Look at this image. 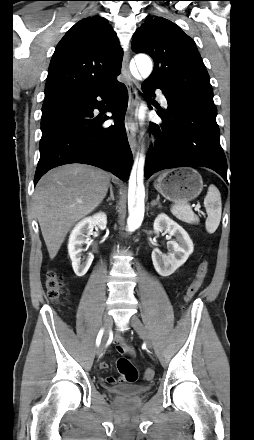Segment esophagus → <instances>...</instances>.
<instances>
[{
    "label": "esophagus",
    "mask_w": 254,
    "mask_h": 440,
    "mask_svg": "<svg viewBox=\"0 0 254 440\" xmlns=\"http://www.w3.org/2000/svg\"><path fill=\"white\" fill-rule=\"evenodd\" d=\"M129 60H130V51L126 50L123 57L122 63V74L125 78V84L128 89L129 100H128V108L125 116V128L128 137V142L133 154H136L137 151V140H136V124L134 122V112L135 108L138 105V84L136 80L132 77L129 70Z\"/></svg>",
    "instance_id": "obj_1"
}]
</instances>
